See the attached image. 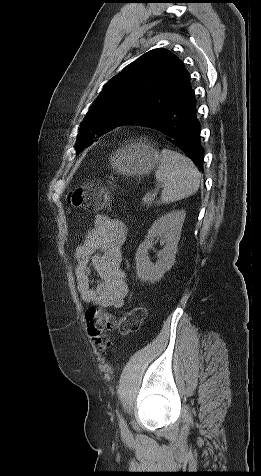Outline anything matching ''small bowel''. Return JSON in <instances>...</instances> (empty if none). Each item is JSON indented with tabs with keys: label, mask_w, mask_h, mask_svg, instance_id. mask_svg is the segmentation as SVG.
I'll use <instances>...</instances> for the list:
<instances>
[{
	"label": "small bowel",
	"mask_w": 261,
	"mask_h": 476,
	"mask_svg": "<svg viewBox=\"0 0 261 476\" xmlns=\"http://www.w3.org/2000/svg\"><path fill=\"white\" fill-rule=\"evenodd\" d=\"M124 223L104 215L94 218L93 226L75 251L77 290L85 303L100 308H121L128 295L126 276L121 267V249L126 240ZM92 271L99 280L94 283Z\"/></svg>",
	"instance_id": "small-bowel-1"
}]
</instances>
